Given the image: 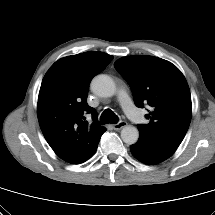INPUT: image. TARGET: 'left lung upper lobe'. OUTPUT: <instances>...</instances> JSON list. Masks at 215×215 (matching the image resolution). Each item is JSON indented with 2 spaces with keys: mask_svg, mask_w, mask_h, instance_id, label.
<instances>
[{
  "mask_svg": "<svg viewBox=\"0 0 215 215\" xmlns=\"http://www.w3.org/2000/svg\"><path fill=\"white\" fill-rule=\"evenodd\" d=\"M129 84L137 107L149 106L148 124L138 125L150 140L176 150L191 121L192 103L187 81L171 62L153 56H128L115 62Z\"/></svg>",
  "mask_w": 215,
  "mask_h": 215,
  "instance_id": "left-lung-upper-lobe-1",
  "label": "left lung upper lobe"
}]
</instances>
